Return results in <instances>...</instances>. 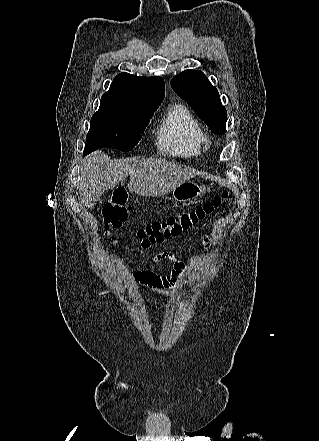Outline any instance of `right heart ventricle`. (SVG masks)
Wrapping results in <instances>:
<instances>
[{"instance_id":"obj_1","label":"right heart ventricle","mask_w":319,"mask_h":441,"mask_svg":"<svg viewBox=\"0 0 319 441\" xmlns=\"http://www.w3.org/2000/svg\"><path fill=\"white\" fill-rule=\"evenodd\" d=\"M156 140L162 151L178 156H196L208 145L201 124L180 104L168 108L157 128Z\"/></svg>"}]
</instances>
